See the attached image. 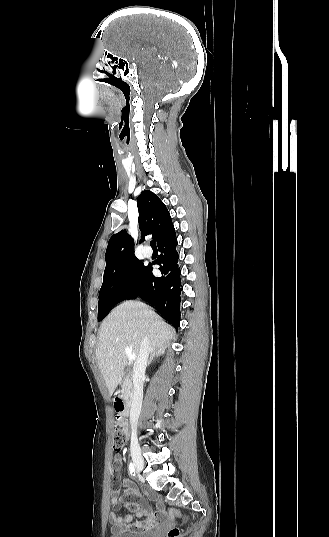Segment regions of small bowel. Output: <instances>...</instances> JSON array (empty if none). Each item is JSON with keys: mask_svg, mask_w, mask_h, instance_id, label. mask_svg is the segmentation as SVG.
Masks as SVG:
<instances>
[{"mask_svg": "<svg viewBox=\"0 0 329 537\" xmlns=\"http://www.w3.org/2000/svg\"><path fill=\"white\" fill-rule=\"evenodd\" d=\"M120 420V417H117ZM124 431L129 434V429L126 424L121 423ZM119 456L115 457V462L120 463ZM113 476H116L117 469H113ZM122 489V492H121ZM124 495L127 500L125 501V507L130 511L124 515H119L115 512H110L108 520L112 524L113 532H143L152 529L158 520H163L165 512L161 505L158 503V510L152 511L147 502L141 496L137 487L128 480L123 481L120 486L114 488L111 493L110 504L113 507H117L121 504V495ZM134 517L141 520L134 521Z\"/></svg>", "mask_w": 329, "mask_h": 537, "instance_id": "small-bowel-1", "label": "small bowel"}]
</instances>
